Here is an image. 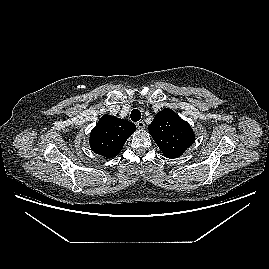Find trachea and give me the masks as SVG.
I'll return each mask as SVG.
<instances>
[{
	"label": "trachea",
	"instance_id": "1",
	"mask_svg": "<svg viewBox=\"0 0 269 269\" xmlns=\"http://www.w3.org/2000/svg\"><path fill=\"white\" fill-rule=\"evenodd\" d=\"M130 117L134 122L139 121L141 119V112L138 109H133Z\"/></svg>",
	"mask_w": 269,
	"mask_h": 269
}]
</instances>
